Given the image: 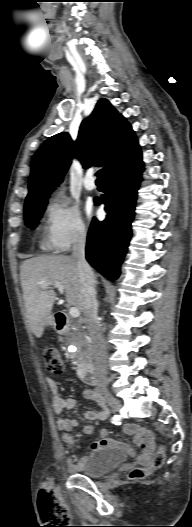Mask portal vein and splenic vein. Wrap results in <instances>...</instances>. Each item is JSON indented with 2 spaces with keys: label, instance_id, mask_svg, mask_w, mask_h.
Here are the masks:
<instances>
[{
  "label": "portal vein and splenic vein",
  "instance_id": "portal-vein-and-splenic-vein-1",
  "mask_svg": "<svg viewBox=\"0 0 192 527\" xmlns=\"http://www.w3.org/2000/svg\"><path fill=\"white\" fill-rule=\"evenodd\" d=\"M49 285H53L54 287H56L60 293H63L64 292V286L59 283V282H42L40 283V287H46V286H49ZM69 315L73 318H78L80 316V312L79 310L76 308V307H71L69 309Z\"/></svg>",
  "mask_w": 192,
  "mask_h": 527
}]
</instances>
